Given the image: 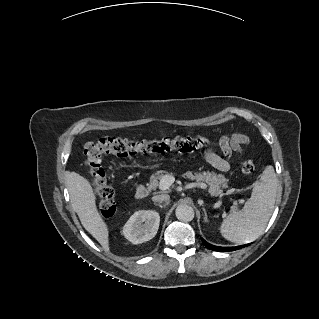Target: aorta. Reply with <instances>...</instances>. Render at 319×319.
<instances>
[{"label": "aorta", "mask_w": 319, "mask_h": 319, "mask_svg": "<svg viewBox=\"0 0 319 319\" xmlns=\"http://www.w3.org/2000/svg\"><path fill=\"white\" fill-rule=\"evenodd\" d=\"M176 217L182 222H190L194 218V209L187 204H180L175 211Z\"/></svg>", "instance_id": "1"}]
</instances>
